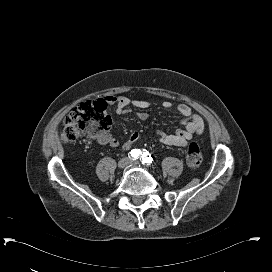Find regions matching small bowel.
Wrapping results in <instances>:
<instances>
[{
    "label": "small bowel",
    "instance_id": "1",
    "mask_svg": "<svg viewBox=\"0 0 272 272\" xmlns=\"http://www.w3.org/2000/svg\"><path fill=\"white\" fill-rule=\"evenodd\" d=\"M109 102L116 105V113L118 115L128 114L131 111V107L138 109H147L151 107V103L142 100H131L128 97L124 96H109ZM161 106L170 110L172 108V104L169 101H164L161 103ZM176 112L180 116V122L185 124L186 127L184 129H180L173 134H167L162 131L157 133L159 142L163 145L167 146H175V147H186L194 134L201 135L204 132V123L202 118L192 112L191 108L185 104H181L176 108ZM137 117L146 120L149 118V114L147 112H138L136 113ZM140 134L137 131L132 132L130 137L124 143V149H130L139 139ZM97 141L100 144L108 145L111 147H118L120 145L119 140L114 138L110 132H103Z\"/></svg>",
    "mask_w": 272,
    "mask_h": 272
}]
</instances>
